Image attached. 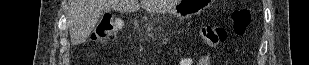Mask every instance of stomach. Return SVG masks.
<instances>
[{
    "instance_id": "1",
    "label": "stomach",
    "mask_w": 309,
    "mask_h": 65,
    "mask_svg": "<svg viewBox=\"0 0 309 65\" xmlns=\"http://www.w3.org/2000/svg\"><path fill=\"white\" fill-rule=\"evenodd\" d=\"M212 3L213 0H180L170 11V15L179 19H187L200 14Z\"/></svg>"
}]
</instances>
